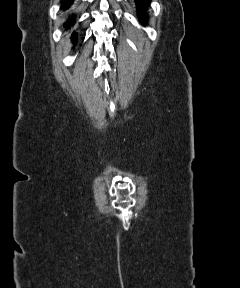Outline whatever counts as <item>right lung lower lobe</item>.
Here are the masks:
<instances>
[{"instance_id":"98d812e1","label":"right lung lower lobe","mask_w":240,"mask_h":288,"mask_svg":"<svg viewBox=\"0 0 240 288\" xmlns=\"http://www.w3.org/2000/svg\"><path fill=\"white\" fill-rule=\"evenodd\" d=\"M72 2H73L72 0H62V8L63 9L68 8L72 4ZM74 22H75L74 16H72V18L69 21H67L66 28H68L72 24L74 25ZM71 39H72L73 43H75L76 39H77V34L73 33Z\"/></svg>"}]
</instances>
